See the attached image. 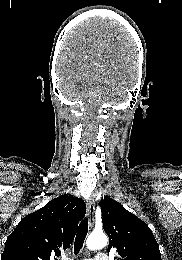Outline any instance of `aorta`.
<instances>
[{
    "label": "aorta",
    "instance_id": "obj_1",
    "mask_svg": "<svg viewBox=\"0 0 182 260\" xmlns=\"http://www.w3.org/2000/svg\"><path fill=\"white\" fill-rule=\"evenodd\" d=\"M108 243V238L104 233H92L86 241L87 248L90 250H100Z\"/></svg>",
    "mask_w": 182,
    "mask_h": 260
}]
</instances>
